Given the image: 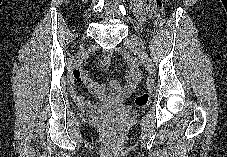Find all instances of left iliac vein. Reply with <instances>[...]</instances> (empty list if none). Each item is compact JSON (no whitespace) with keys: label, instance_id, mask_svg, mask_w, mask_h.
<instances>
[{"label":"left iliac vein","instance_id":"obj_1","mask_svg":"<svg viewBox=\"0 0 227 157\" xmlns=\"http://www.w3.org/2000/svg\"><path fill=\"white\" fill-rule=\"evenodd\" d=\"M124 45L139 57L141 63L149 73H153L154 71L153 62L149 55L144 50L143 44L138 37L134 36L131 39L126 38L124 40Z\"/></svg>","mask_w":227,"mask_h":157}]
</instances>
